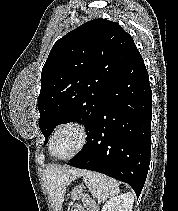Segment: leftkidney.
<instances>
[{
    "label": "left kidney",
    "mask_w": 178,
    "mask_h": 211,
    "mask_svg": "<svg viewBox=\"0 0 178 211\" xmlns=\"http://www.w3.org/2000/svg\"><path fill=\"white\" fill-rule=\"evenodd\" d=\"M134 196L127 192L108 200L101 211H132Z\"/></svg>",
    "instance_id": "obj_1"
}]
</instances>
